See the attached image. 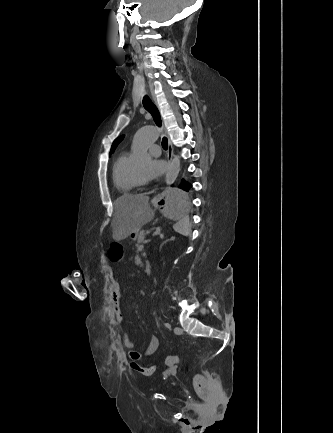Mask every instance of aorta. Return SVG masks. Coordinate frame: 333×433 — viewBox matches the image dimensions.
I'll return each instance as SVG.
<instances>
[{"label":"aorta","mask_w":333,"mask_h":433,"mask_svg":"<svg viewBox=\"0 0 333 433\" xmlns=\"http://www.w3.org/2000/svg\"><path fill=\"white\" fill-rule=\"evenodd\" d=\"M160 137V131L154 126H146L140 128L134 135L131 151L132 163L136 166H146L151 162V157L148 154V147ZM180 171V158L174 156L171 161L168 173L165 177L167 185H171L177 178Z\"/></svg>","instance_id":"obj_1"}]
</instances>
